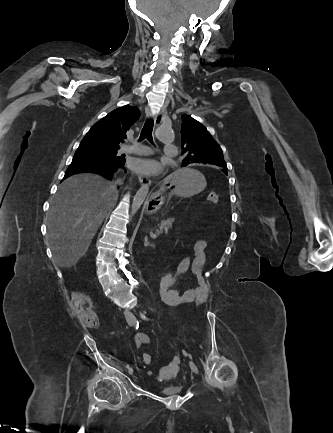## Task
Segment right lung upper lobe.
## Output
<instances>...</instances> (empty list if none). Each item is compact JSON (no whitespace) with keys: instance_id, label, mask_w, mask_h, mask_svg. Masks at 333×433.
<instances>
[{"instance_id":"1","label":"right lung upper lobe","mask_w":333,"mask_h":433,"mask_svg":"<svg viewBox=\"0 0 333 433\" xmlns=\"http://www.w3.org/2000/svg\"><path fill=\"white\" fill-rule=\"evenodd\" d=\"M139 117L137 107L117 108L95 123L82 141L98 148L118 150L119 144L127 137V131Z\"/></svg>"}]
</instances>
